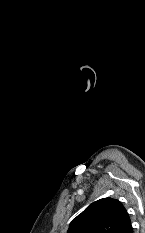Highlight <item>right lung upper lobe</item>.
<instances>
[{
    "label": "right lung upper lobe",
    "instance_id": "right-lung-upper-lobe-1",
    "mask_svg": "<svg viewBox=\"0 0 145 233\" xmlns=\"http://www.w3.org/2000/svg\"><path fill=\"white\" fill-rule=\"evenodd\" d=\"M67 233H133L129 214L116 199L91 203L69 226Z\"/></svg>",
    "mask_w": 145,
    "mask_h": 233
}]
</instances>
